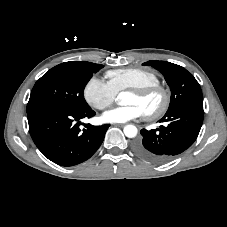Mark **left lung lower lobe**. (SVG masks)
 <instances>
[{
    "label": "left lung lower lobe",
    "instance_id": "1",
    "mask_svg": "<svg viewBox=\"0 0 227 227\" xmlns=\"http://www.w3.org/2000/svg\"><path fill=\"white\" fill-rule=\"evenodd\" d=\"M204 117L202 107L188 106L166 112L159 122L165 126L140 131L142 137L134 144L135 152L153 163H164L188 149L196 140Z\"/></svg>",
    "mask_w": 227,
    "mask_h": 227
}]
</instances>
